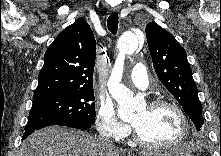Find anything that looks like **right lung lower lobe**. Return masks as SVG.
I'll use <instances>...</instances> for the list:
<instances>
[{
	"label": "right lung lower lobe",
	"instance_id": "1",
	"mask_svg": "<svg viewBox=\"0 0 221 156\" xmlns=\"http://www.w3.org/2000/svg\"><path fill=\"white\" fill-rule=\"evenodd\" d=\"M92 124H60L59 126H68V127H72V128H77V129H89L91 127ZM35 130H28L24 132L23 138L25 139L27 136H29L31 133H33Z\"/></svg>",
	"mask_w": 221,
	"mask_h": 156
}]
</instances>
